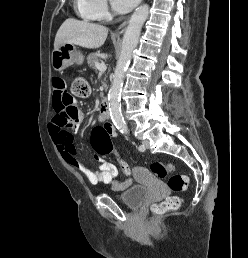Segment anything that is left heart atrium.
I'll list each match as a JSON object with an SVG mask.
<instances>
[{
    "mask_svg": "<svg viewBox=\"0 0 248 258\" xmlns=\"http://www.w3.org/2000/svg\"><path fill=\"white\" fill-rule=\"evenodd\" d=\"M140 0H111L114 9L119 13L130 11Z\"/></svg>",
    "mask_w": 248,
    "mask_h": 258,
    "instance_id": "obj_1",
    "label": "left heart atrium"
}]
</instances>
